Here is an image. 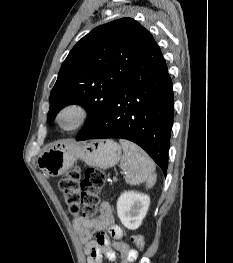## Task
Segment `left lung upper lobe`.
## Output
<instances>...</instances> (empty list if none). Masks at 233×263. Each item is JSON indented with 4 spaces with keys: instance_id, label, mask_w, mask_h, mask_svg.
Here are the masks:
<instances>
[{
    "instance_id": "5c2ea615",
    "label": "left lung upper lobe",
    "mask_w": 233,
    "mask_h": 263,
    "mask_svg": "<svg viewBox=\"0 0 233 263\" xmlns=\"http://www.w3.org/2000/svg\"><path fill=\"white\" fill-rule=\"evenodd\" d=\"M137 21L122 18L96 27L70 51L50 94L47 122L69 104L86 108L88 118L77 140L100 120L122 83L154 42Z\"/></svg>"
}]
</instances>
